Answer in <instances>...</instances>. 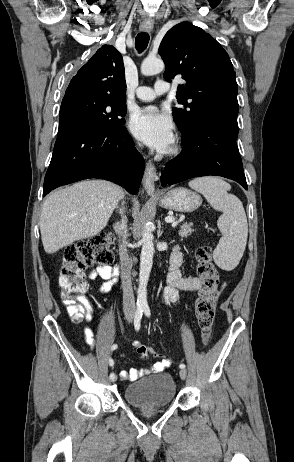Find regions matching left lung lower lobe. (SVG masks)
<instances>
[{
  "instance_id": "obj_1",
  "label": "left lung lower lobe",
  "mask_w": 294,
  "mask_h": 462,
  "mask_svg": "<svg viewBox=\"0 0 294 462\" xmlns=\"http://www.w3.org/2000/svg\"><path fill=\"white\" fill-rule=\"evenodd\" d=\"M239 106L212 110L182 139L181 156L168 162L162 186L198 176L216 175L232 179L248 189L239 150L237 114Z\"/></svg>"
}]
</instances>
